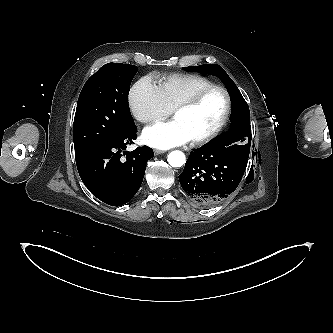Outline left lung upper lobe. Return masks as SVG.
<instances>
[{
    "label": "left lung upper lobe",
    "mask_w": 333,
    "mask_h": 333,
    "mask_svg": "<svg viewBox=\"0 0 333 333\" xmlns=\"http://www.w3.org/2000/svg\"><path fill=\"white\" fill-rule=\"evenodd\" d=\"M183 69L187 72H201L219 77L229 92L232 103V111L234 112L236 109H244L246 112V122L249 126L248 122L250 121V115L248 105L235 83L231 80V78L227 75L222 67L216 64H206L194 67H184ZM230 121L232 123L230 131L226 134H223L222 136H219L210 144L225 149L226 151H230L235 156L248 161L251 145L250 131L244 132L242 130L241 126L239 125L240 123L235 121L234 114H231ZM246 137L249 138L248 143Z\"/></svg>",
    "instance_id": "left-lung-upper-lobe-1"
}]
</instances>
